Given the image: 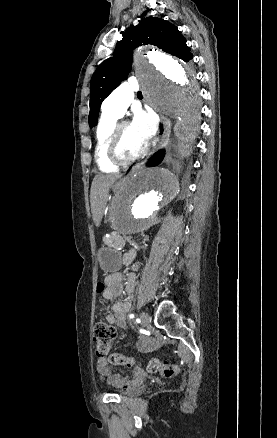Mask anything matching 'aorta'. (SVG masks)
<instances>
[{
    "label": "aorta",
    "instance_id": "762f6f07",
    "mask_svg": "<svg viewBox=\"0 0 277 438\" xmlns=\"http://www.w3.org/2000/svg\"><path fill=\"white\" fill-rule=\"evenodd\" d=\"M135 71L149 103L176 120L175 132L185 144L198 128L199 86L194 69L158 51L135 57ZM178 191L173 173L164 168L140 171L116 195L111 219L116 230L135 234L149 228Z\"/></svg>",
    "mask_w": 277,
    "mask_h": 438
}]
</instances>
